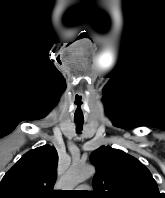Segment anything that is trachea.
<instances>
[{
	"label": "trachea",
	"mask_w": 165,
	"mask_h": 198,
	"mask_svg": "<svg viewBox=\"0 0 165 198\" xmlns=\"http://www.w3.org/2000/svg\"><path fill=\"white\" fill-rule=\"evenodd\" d=\"M75 123L77 125V131L80 132V130L82 129L83 121H75Z\"/></svg>",
	"instance_id": "1"
}]
</instances>
